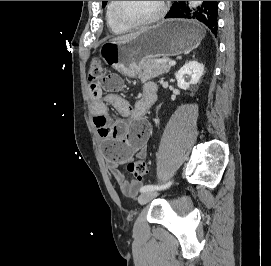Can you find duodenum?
Instances as JSON below:
<instances>
[{"mask_svg":"<svg viewBox=\"0 0 271 266\" xmlns=\"http://www.w3.org/2000/svg\"><path fill=\"white\" fill-rule=\"evenodd\" d=\"M156 87H157V86H156ZM156 92H157V89H155V87H153L151 93L154 94V93H156Z\"/></svg>","mask_w":271,"mask_h":266,"instance_id":"1","label":"duodenum"}]
</instances>
